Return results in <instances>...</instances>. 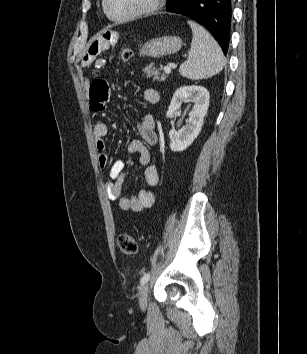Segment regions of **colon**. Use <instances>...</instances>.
Segmentation results:
<instances>
[{
    "instance_id": "obj_1",
    "label": "colon",
    "mask_w": 307,
    "mask_h": 354,
    "mask_svg": "<svg viewBox=\"0 0 307 354\" xmlns=\"http://www.w3.org/2000/svg\"><path fill=\"white\" fill-rule=\"evenodd\" d=\"M132 50L130 48H123L121 50V59L126 62L132 57ZM118 246L121 253L125 256H135L138 251L137 242L133 236L127 233H122L118 236Z\"/></svg>"
}]
</instances>
